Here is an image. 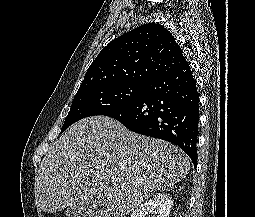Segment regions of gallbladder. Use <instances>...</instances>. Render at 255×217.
I'll use <instances>...</instances> for the list:
<instances>
[{"label":"gallbladder","instance_id":"obj_1","mask_svg":"<svg viewBox=\"0 0 255 217\" xmlns=\"http://www.w3.org/2000/svg\"><path fill=\"white\" fill-rule=\"evenodd\" d=\"M66 217H93L89 202H78L66 209Z\"/></svg>","mask_w":255,"mask_h":217}]
</instances>
